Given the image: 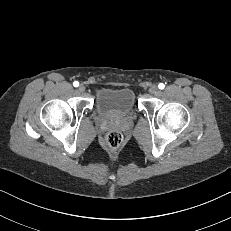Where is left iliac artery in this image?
Returning a JSON list of instances; mask_svg holds the SVG:
<instances>
[{"label": "left iliac artery", "mask_w": 231, "mask_h": 231, "mask_svg": "<svg viewBox=\"0 0 231 231\" xmlns=\"http://www.w3.org/2000/svg\"><path fill=\"white\" fill-rule=\"evenodd\" d=\"M158 87H159V89H164L165 85H164L163 83H160V84L158 85Z\"/></svg>", "instance_id": "44dca946"}]
</instances>
